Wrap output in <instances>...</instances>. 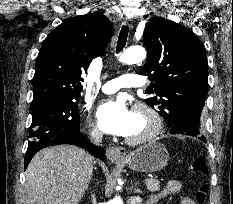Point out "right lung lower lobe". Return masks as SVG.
I'll return each instance as SVG.
<instances>
[{
    "label": "right lung lower lobe",
    "mask_w": 233,
    "mask_h": 204,
    "mask_svg": "<svg viewBox=\"0 0 233 204\" xmlns=\"http://www.w3.org/2000/svg\"><path fill=\"white\" fill-rule=\"evenodd\" d=\"M59 144H76L80 147L87 148L89 152L101 159L102 161L106 162V158L104 155V151L101 147L94 146L92 143H90L86 138L79 132V133H63L61 135H58L51 140H49L47 143H45L42 147H40L37 150L34 151H29L27 150L25 154V164H24V169L27 168L30 160L32 157L41 149L48 147V146H53V145H59Z\"/></svg>",
    "instance_id": "obj_1"
}]
</instances>
